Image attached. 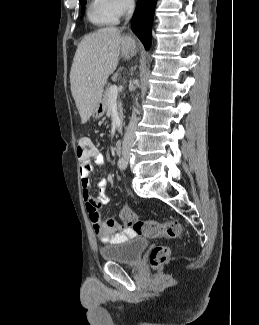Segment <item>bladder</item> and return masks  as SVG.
I'll return each mask as SVG.
<instances>
[{"mask_svg": "<svg viewBox=\"0 0 259 325\" xmlns=\"http://www.w3.org/2000/svg\"><path fill=\"white\" fill-rule=\"evenodd\" d=\"M147 246L148 240L146 238L135 237L122 243L102 247L100 255L107 262L135 264L140 260Z\"/></svg>", "mask_w": 259, "mask_h": 325, "instance_id": "31cf9c89", "label": "bladder"}]
</instances>
